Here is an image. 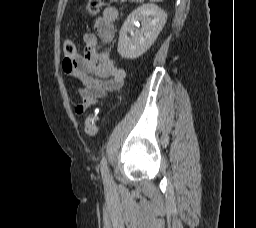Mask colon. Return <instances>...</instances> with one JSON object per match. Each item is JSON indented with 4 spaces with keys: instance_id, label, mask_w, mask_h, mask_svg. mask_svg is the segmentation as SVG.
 Listing matches in <instances>:
<instances>
[{
    "instance_id": "colon-1",
    "label": "colon",
    "mask_w": 256,
    "mask_h": 228,
    "mask_svg": "<svg viewBox=\"0 0 256 228\" xmlns=\"http://www.w3.org/2000/svg\"><path fill=\"white\" fill-rule=\"evenodd\" d=\"M125 0H88L87 10L90 15H96L101 7L110 4L112 2H124ZM63 51L65 57L71 59L76 56L77 50L74 43L71 40H64L63 42ZM97 114L96 113H89L85 119L84 130L85 133L89 136H94L98 132V125H97Z\"/></svg>"
}]
</instances>
